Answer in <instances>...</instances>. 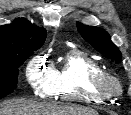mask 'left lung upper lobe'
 I'll list each match as a JSON object with an SVG mask.
<instances>
[{"label": "left lung upper lobe", "instance_id": "5c2ea615", "mask_svg": "<svg viewBox=\"0 0 131 115\" xmlns=\"http://www.w3.org/2000/svg\"><path fill=\"white\" fill-rule=\"evenodd\" d=\"M77 28L81 36L100 53L120 61L121 52L111 42L109 34L102 28L93 27L77 22Z\"/></svg>", "mask_w": 131, "mask_h": 115}]
</instances>
